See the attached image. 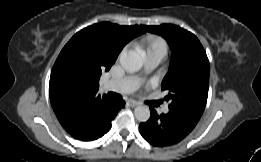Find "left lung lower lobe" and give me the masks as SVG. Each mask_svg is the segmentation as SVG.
I'll use <instances>...</instances> for the list:
<instances>
[{"mask_svg":"<svg viewBox=\"0 0 261 162\" xmlns=\"http://www.w3.org/2000/svg\"><path fill=\"white\" fill-rule=\"evenodd\" d=\"M150 119L139 125L142 137L156 147H164L178 143L196 126L199 119L182 110H171L167 114L158 115L150 108Z\"/></svg>","mask_w":261,"mask_h":162,"instance_id":"left-lung-lower-lobe-1","label":"left lung lower lobe"}]
</instances>
